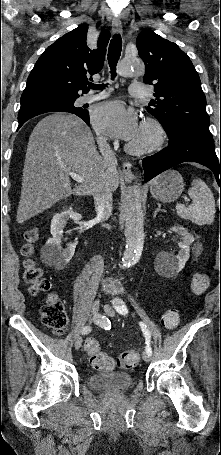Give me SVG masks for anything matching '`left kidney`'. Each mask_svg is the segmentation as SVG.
<instances>
[{
	"mask_svg": "<svg viewBox=\"0 0 221 455\" xmlns=\"http://www.w3.org/2000/svg\"><path fill=\"white\" fill-rule=\"evenodd\" d=\"M172 231L182 236V241L178 243L180 251L174 256L168 252H160L155 258L157 268L164 273H178L181 271L189 259L190 245L194 242V237L188 230L181 226H174Z\"/></svg>",
	"mask_w": 221,
	"mask_h": 455,
	"instance_id": "5707ae66",
	"label": "left kidney"
}]
</instances>
